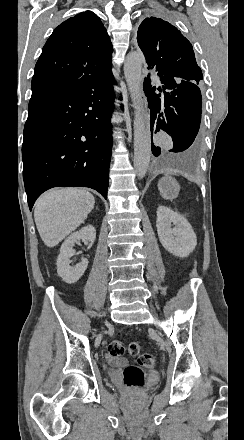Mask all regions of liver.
Wrapping results in <instances>:
<instances>
[{"mask_svg": "<svg viewBox=\"0 0 244 440\" xmlns=\"http://www.w3.org/2000/svg\"><path fill=\"white\" fill-rule=\"evenodd\" d=\"M94 204V196L78 188H54L42 194L36 202L34 220L45 246L54 248L74 232Z\"/></svg>", "mask_w": 244, "mask_h": 440, "instance_id": "1", "label": "liver"}]
</instances>
